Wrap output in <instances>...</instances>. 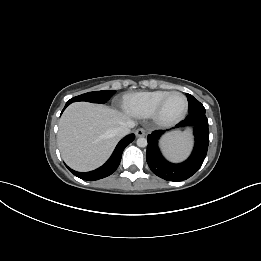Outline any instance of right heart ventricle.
Masks as SVG:
<instances>
[{
    "label": "right heart ventricle",
    "instance_id": "obj_1",
    "mask_svg": "<svg viewBox=\"0 0 261 261\" xmlns=\"http://www.w3.org/2000/svg\"><path fill=\"white\" fill-rule=\"evenodd\" d=\"M167 93L165 90H157L130 94L124 97L122 107L133 117L148 118L153 116L159 101Z\"/></svg>",
    "mask_w": 261,
    "mask_h": 261
}]
</instances>
